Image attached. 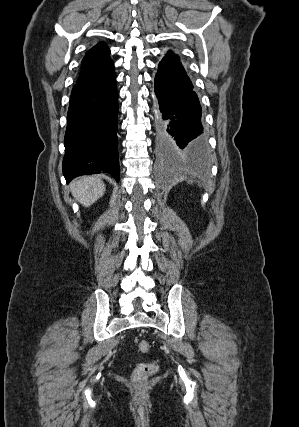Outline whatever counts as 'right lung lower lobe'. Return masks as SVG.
<instances>
[{
  "label": "right lung lower lobe",
  "instance_id": "right-lung-lower-lobe-1",
  "mask_svg": "<svg viewBox=\"0 0 299 427\" xmlns=\"http://www.w3.org/2000/svg\"><path fill=\"white\" fill-rule=\"evenodd\" d=\"M114 70L103 78L77 83L71 92L65 133L63 175L73 178L108 173L119 181L118 92Z\"/></svg>",
  "mask_w": 299,
  "mask_h": 427
}]
</instances>
